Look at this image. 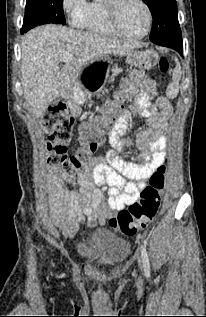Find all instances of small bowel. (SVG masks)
Returning a JSON list of instances; mask_svg holds the SVG:
<instances>
[{
    "mask_svg": "<svg viewBox=\"0 0 206 317\" xmlns=\"http://www.w3.org/2000/svg\"><path fill=\"white\" fill-rule=\"evenodd\" d=\"M145 119L136 137H125L130 116ZM172 115L169 100L159 91L152 79L143 82L136 100L118 119L109 133L113 150L100 156L83 173L74 175L70 182L77 190L68 194V203L53 206L50 217L66 235L73 236L81 223L103 225L107 218L136 202L151 175L166 161L168 119ZM135 147L138 164L121 159L117 151ZM134 180L128 181L127 179ZM107 191L108 197L104 195ZM59 196V192L55 194Z\"/></svg>",
    "mask_w": 206,
    "mask_h": 317,
    "instance_id": "1",
    "label": "small bowel"
}]
</instances>
